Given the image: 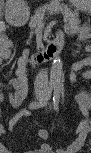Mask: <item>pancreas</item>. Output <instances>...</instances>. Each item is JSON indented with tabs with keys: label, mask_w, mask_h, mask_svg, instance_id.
Here are the masks:
<instances>
[{
	"label": "pancreas",
	"mask_w": 91,
	"mask_h": 153,
	"mask_svg": "<svg viewBox=\"0 0 91 153\" xmlns=\"http://www.w3.org/2000/svg\"><path fill=\"white\" fill-rule=\"evenodd\" d=\"M61 11L64 14V20L68 25V28L75 29L78 27L79 19L78 16L64 5H58L57 3H50L48 5H44L43 7L39 8L33 17H31L29 27L31 29L35 28L36 30L42 28L43 26V19L45 13H55Z\"/></svg>",
	"instance_id": "pancreas-1"
}]
</instances>
